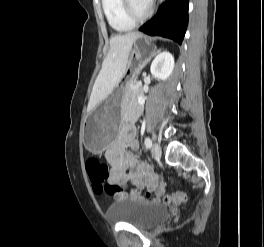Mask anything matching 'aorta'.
I'll return each mask as SVG.
<instances>
[{"label":"aorta","instance_id":"obj_1","mask_svg":"<svg viewBox=\"0 0 264 247\" xmlns=\"http://www.w3.org/2000/svg\"><path fill=\"white\" fill-rule=\"evenodd\" d=\"M160 1V3H162V2H164L165 0H159Z\"/></svg>","mask_w":264,"mask_h":247}]
</instances>
